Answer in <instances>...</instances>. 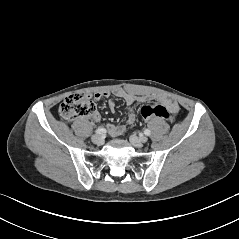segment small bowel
Instances as JSON below:
<instances>
[{
  "label": "small bowel",
  "mask_w": 239,
  "mask_h": 239,
  "mask_svg": "<svg viewBox=\"0 0 239 239\" xmlns=\"http://www.w3.org/2000/svg\"><path fill=\"white\" fill-rule=\"evenodd\" d=\"M110 95L111 94L109 92H97L93 95V97L96 100H100L102 98H109ZM114 95L124 100V102L126 103V106H127V111H128L127 122L130 125L134 124L135 120H136V116L133 111L134 104L145 102L146 100H148V98L146 96H136V95L126 92L124 90H117L114 92ZM158 100L167 108V110L169 111V118H170V120H172L173 117L179 111V106H178L177 102L173 98L168 97V96H160V97H158ZM108 108L111 111L115 110L116 106L112 100H109ZM92 118L94 121L98 122V121H100L101 116L99 113L96 112V113H94ZM124 131H125V126L121 125V124H111L108 126V132L113 137L122 135L124 133Z\"/></svg>",
  "instance_id": "obj_1"
}]
</instances>
